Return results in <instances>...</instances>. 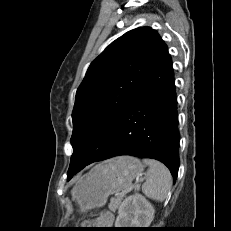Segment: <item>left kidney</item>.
Returning a JSON list of instances; mask_svg holds the SVG:
<instances>
[{"instance_id":"left-kidney-1","label":"left kidney","mask_w":231,"mask_h":231,"mask_svg":"<svg viewBox=\"0 0 231 231\" xmlns=\"http://www.w3.org/2000/svg\"><path fill=\"white\" fill-rule=\"evenodd\" d=\"M154 207L141 194L127 197L118 209L115 228H148L154 218Z\"/></svg>"}]
</instances>
